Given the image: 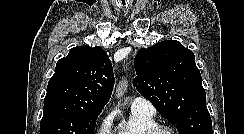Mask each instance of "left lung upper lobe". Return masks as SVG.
<instances>
[{
	"label": "left lung upper lobe",
	"instance_id": "1",
	"mask_svg": "<svg viewBox=\"0 0 244 134\" xmlns=\"http://www.w3.org/2000/svg\"><path fill=\"white\" fill-rule=\"evenodd\" d=\"M133 86L179 134H213L206 93L191 50L176 40L140 49L134 59Z\"/></svg>",
	"mask_w": 244,
	"mask_h": 134
}]
</instances>
